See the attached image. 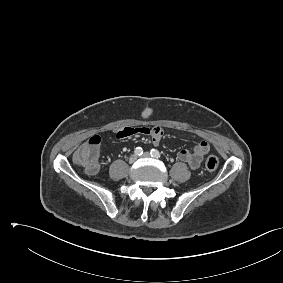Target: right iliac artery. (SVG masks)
<instances>
[{"mask_svg":"<svg viewBox=\"0 0 283 283\" xmlns=\"http://www.w3.org/2000/svg\"><path fill=\"white\" fill-rule=\"evenodd\" d=\"M134 153L138 156H141L143 154V149L141 147H137Z\"/></svg>","mask_w":283,"mask_h":283,"instance_id":"1","label":"right iliac artery"}]
</instances>
